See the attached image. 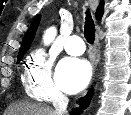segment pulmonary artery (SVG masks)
Returning a JSON list of instances; mask_svg holds the SVG:
<instances>
[{
    "mask_svg": "<svg viewBox=\"0 0 131 115\" xmlns=\"http://www.w3.org/2000/svg\"><path fill=\"white\" fill-rule=\"evenodd\" d=\"M65 50L70 55H81L85 51L82 38L78 35L70 36L65 43Z\"/></svg>",
    "mask_w": 131,
    "mask_h": 115,
    "instance_id": "pulmonary-artery-1",
    "label": "pulmonary artery"
}]
</instances>
